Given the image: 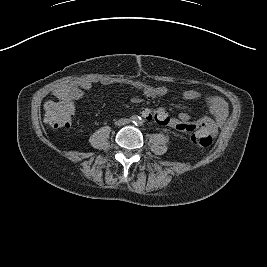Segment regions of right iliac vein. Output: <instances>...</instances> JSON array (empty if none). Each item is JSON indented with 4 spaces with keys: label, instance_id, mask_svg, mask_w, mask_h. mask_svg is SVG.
<instances>
[{
    "label": "right iliac vein",
    "instance_id": "63e3f726",
    "mask_svg": "<svg viewBox=\"0 0 267 267\" xmlns=\"http://www.w3.org/2000/svg\"><path fill=\"white\" fill-rule=\"evenodd\" d=\"M117 125H118V126H121V125H122V122H121V121H119V122L117 123Z\"/></svg>",
    "mask_w": 267,
    "mask_h": 267
}]
</instances>
